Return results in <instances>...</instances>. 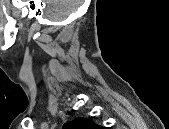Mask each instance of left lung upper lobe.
Listing matches in <instances>:
<instances>
[{"mask_svg":"<svg viewBox=\"0 0 169 129\" xmlns=\"http://www.w3.org/2000/svg\"><path fill=\"white\" fill-rule=\"evenodd\" d=\"M64 129H102L101 126L95 124L92 118H76L71 122H67Z\"/></svg>","mask_w":169,"mask_h":129,"instance_id":"obj_1","label":"left lung upper lobe"}]
</instances>
